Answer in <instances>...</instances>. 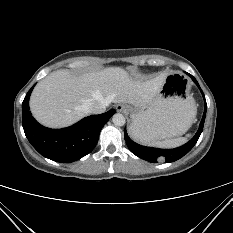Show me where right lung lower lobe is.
Returning <instances> with one entry per match:
<instances>
[{
    "mask_svg": "<svg viewBox=\"0 0 233 233\" xmlns=\"http://www.w3.org/2000/svg\"><path fill=\"white\" fill-rule=\"evenodd\" d=\"M32 89L33 87L22 103V125L31 145L44 157L61 163H70L89 154L98 142L102 127L115 110L88 116L67 128H46L40 125L29 111Z\"/></svg>",
    "mask_w": 233,
    "mask_h": 233,
    "instance_id": "obj_1",
    "label": "right lung lower lobe"
}]
</instances>
